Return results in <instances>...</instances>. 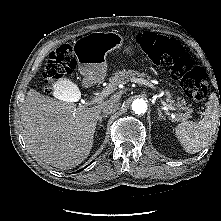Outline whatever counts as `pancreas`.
Masks as SVG:
<instances>
[{
    "instance_id": "obj_1",
    "label": "pancreas",
    "mask_w": 221,
    "mask_h": 221,
    "mask_svg": "<svg viewBox=\"0 0 221 221\" xmlns=\"http://www.w3.org/2000/svg\"><path fill=\"white\" fill-rule=\"evenodd\" d=\"M135 79H139L143 81L145 84H148L150 77L144 73H139L134 70H128V71L122 70V71L114 73V75L109 79V82H110V85L115 87L118 84H125L128 82H132ZM169 102H170V105L173 104L172 100ZM184 104H185V100H181L180 102L173 104L174 106L180 107L181 111H184V113H180L178 115V119L180 120H185V119L190 118V114L193 112L191 108L182 106Z\"/></svg>"
}]
</instances>
